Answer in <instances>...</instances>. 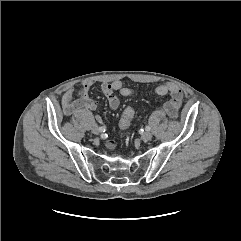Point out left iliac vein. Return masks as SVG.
I'll return each mask as SVG.
<instances>
[{
	"label": "left iliac vein",
	"mask_w": 241,
	"mask_h": 241,
	"mask_svg": "<svg viewBox=\"0 0 241 241\" xmlns=\"http://www.w3.org/2000/svg\"><path fill=\"white\" fill-rule=\"evenodd\" d=\"M141 138H142L143 141H149V140L152 139V133L145 132V133L142 134Z\"/></svg>",
	"instance_id": "4c4485c4"
}]
</instances>
